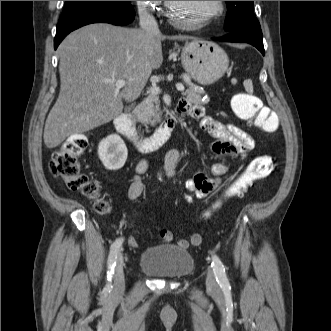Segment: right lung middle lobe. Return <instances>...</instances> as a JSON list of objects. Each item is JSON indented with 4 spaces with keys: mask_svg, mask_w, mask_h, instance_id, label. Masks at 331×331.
I'll return each mask as SVG.
<instances>
[{
    "mask_svg": "<svg viewBox=\"0 0 331 331\" xmlns=\"http://www.w3.org/2000/svg\"><path fill=\"white\" fill-rule=\"evenodd\" d=\"M130 4L131 1H66L59 23L98 9Z\"/></svg>",
    "mask_w": 331,
    "mask_h": 331,
    "instance_id": "dd1d6c3e",
    "label": "right lung middle lobe"
}]
</instances>
